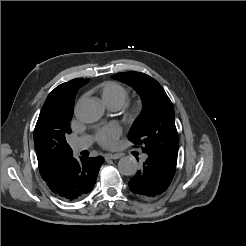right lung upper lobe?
<instances>
[{
  "mask_svg": "<svg viewBox=\"0 0 246 246\" xmlns=\"http://www.w3.org/2000/svg\"><path fill=\"white\" fill-rule=\"evenodd\" d=\"M88 82L89 79H73L57 86L42 107L34 130V145L41 177L47 183L73 158L66 136L71 133L69 123L76 93Z\"/></svg>",
  "mask_w": 246,
  "mask_h": 246,
  "instance_id": "cb5924a9",
  "label": "right lung upper lobe"
}]
</instances>
